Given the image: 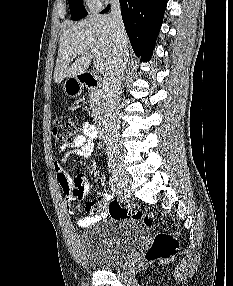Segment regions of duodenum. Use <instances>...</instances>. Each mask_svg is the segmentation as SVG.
Masks as SVG:
<instances>
[{
    "label": "duodenum",
    "instance_id": "1",
    "mask_svg": "<svg viewBox=\"0 0 233 286\" xmlns=\"http://www.w3.org/2000/svg\"><path fill=\"white\" fill-rule=\"evenodd\" d=\"M79 82L88 89H97L101 85V81L91 72H84L78 76ZM97 128L102 135L107 132L108 124L107 120L101 116L97 120Z\"/></svg>",
    "mask_w": 233,
    "mask_h": 286
}]
</instances>
